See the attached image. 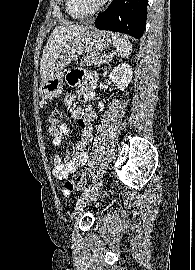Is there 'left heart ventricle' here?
Returning <instances> with one entry per match:
<instances>
[{
    "instance_id": "1",
    "label": "left heart ventricle",
    "mask_w": 195,
    "mask_h": 270,
    "mask_svg": "<svg viewBox=\"0 0 195 270\" xmlns=\"http://www.w3.org/2000/svg\"><path fill=\"white\" fill-rule=\"evenodd\" d=\"M92 2H98L99 0H91Z\"/></svg>"
}]
</instances>
